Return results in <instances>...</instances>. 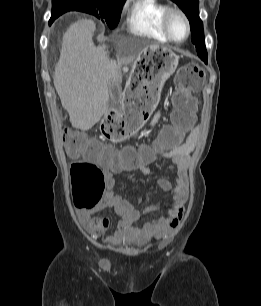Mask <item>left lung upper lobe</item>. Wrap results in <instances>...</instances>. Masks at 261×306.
<instances>
[{
    "label": "left lung upper lobe",
    "instance_id": "5c2ea615",
    "mask_svg": "<svg viewBox=\"0 0 261 306\" xmlns=\"http://www.w3.org/2000/svg\"><path fill=\"white\" fill-rule=\"evenodd\" d=\"M175 2L189 19L192 42L196 47L198 56L207 63V51L205 47L203 23L199 18V1L198 0H172Z\"/></svg>",
    "mask_w": 261,
    "mask_h": 306
}]
</instances>
